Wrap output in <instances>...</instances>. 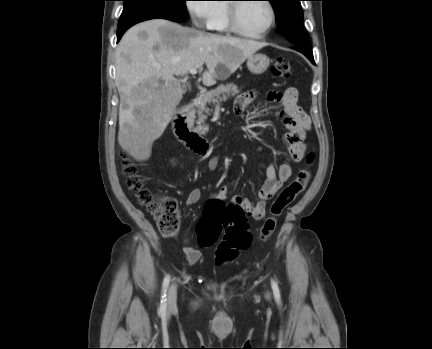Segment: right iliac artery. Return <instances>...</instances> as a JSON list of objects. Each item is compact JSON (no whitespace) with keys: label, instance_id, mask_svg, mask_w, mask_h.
I'll return each mask as SVG.
<instances>
[{"label":"right iliac artery","instance_id":"right-iliac-artery-1","mask_svg":"<svg viewBox=\"0 0 432 349\" xmlns=\"http://www.w3.org/2000/svg\"><path fill=\"white\" fill-rule=\"evenodd\" d=\"M169 282H170V276L167 275L164 278L163 284H162V296H161V304H160V311L161 312H164L166 310V306H167V303H166V300H167L166 299V291H167Z\"/></svg>","mask_w":432,"mask_h":349}]
</instances>
